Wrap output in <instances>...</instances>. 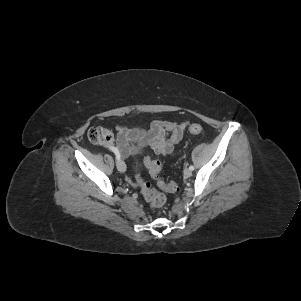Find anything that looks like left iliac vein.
<instances>
[{"mask_svg": "<svg viewBox=\"0 0 301 301\" xmlns=\"http://www.w3.org/2000/svg\"><path fill=\"white\" fill-rule=\"evenodd\" d=\"M192 175V171L189 168L184 169V176L190 177Z\"/></svg>", "mask_w": 301, "mask_h": 301, "instance_id": "obj_1", "label": "left iliac vein"}]
</instances>
